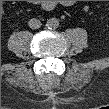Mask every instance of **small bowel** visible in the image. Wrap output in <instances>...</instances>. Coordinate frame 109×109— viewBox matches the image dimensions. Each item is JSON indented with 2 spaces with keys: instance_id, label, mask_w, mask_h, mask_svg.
Here are the masks:
<instances>
[{
  "instance_id": "obj_1",
  "label": "small bowel",
  "mask_w": 109,
  "mask_h": 109,
  "mask_svg": "<svg viewBox=\"0 0 109 109\" xmlns=\"http://www.w3.org/2000/svg\"><path fill=\"white\" fill-rule=\"evenodd\" d=\"M44 7H45L46 9H50V8H51V5H50V3H44Z\"/></svg>"
}]
</instances>
